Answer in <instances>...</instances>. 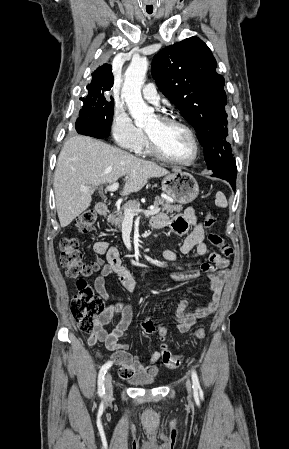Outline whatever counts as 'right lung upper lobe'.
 <instances>
[{"instance_id": "1", "label": "right lung upper lobe", "mask_w": 289, "mask_h": 449, "mask_svg": "<svg viewBox=\"0 0 289 449\" xmlns=\"http://www.w3.org/2000/svg\"><path fill=\"white\" fill-rule=\"evenodd\" d=\"M92 77L91 84L86 87L89 92L88 96L104 94V92L109 91L113 86L114 77L112 67L107 63L97 68L92 74Z\"/></svg>"}]
</instances>
